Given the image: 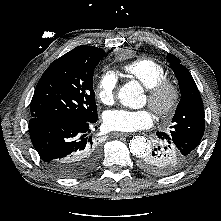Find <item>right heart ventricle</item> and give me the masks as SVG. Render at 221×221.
<instances>
[{
    "label": "right heart ventricle",
    "instance_id": "1",
    "mask_svg": "<svg viewBox=\"0 0 221 221\" xmlns=\"http://www.w3.org/2000/svg\"><path fill=\"white\" fill-rule=\"evenodd\" d=\"M124 71L146 88L153 86L167 76L164 66L151 58L136 59L126 64Z\"/></svg>",
    "mask_w": 221,
    "mask_h": 221
}]
</instances>
